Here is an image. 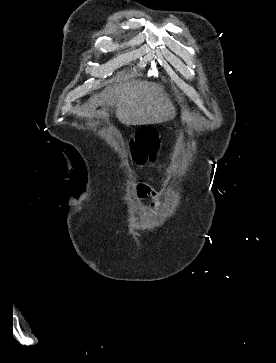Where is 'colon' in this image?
Returning <instances> with one entry per match:
<instances>
[{
    "mask_svg": "<svg viewBox=\"0 0 276 363\" xmlns=\"http://www.w3.org/2000/svg\"><path fill=\"white\" fill-rule=\"evenodd\" d=\"M159 134L150 127H143L135 135L132 153L138 162L154 157L159 148Z\"/></svg>",
    "mask_w": 276,
    "mask_h": 363,
    "instance_id": "obj_1",
    "label": "colon"
}]
</instances>
